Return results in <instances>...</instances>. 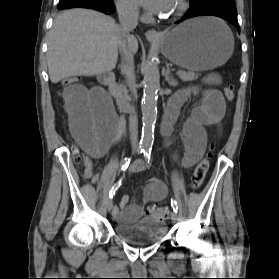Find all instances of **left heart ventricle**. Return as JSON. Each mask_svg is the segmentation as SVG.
<instances>
[{"instance_id":"1","label":"left heart ventricle","mask_w":279,"mask_h":279,"mask_svg":"<svg viewBox=\"0 0 279 279\" xmlns=\"http://www.w3.org/2000/svg\"><path fill=\"white\" fill-rule=\"evenodd\" d=\"M177 4H178V0H170L167 5V8L163 11L162 15L165 16L171 15L175 11Z\"/></svg>"}]
</instances>
